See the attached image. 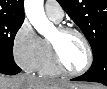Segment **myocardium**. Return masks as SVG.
Returning a JSON list of instances; mask_svg holds the SVG:
<instances>
[{
	"label": "myocardium",
	"mask_w": 107,
	"mask_h": 89,
	"mask_svg": "<svg viewBox=\"0 0 107 89\" xmlns=\"http://www.w3.org/2000/svg\"><path fill=\"white\" fill-rule=\"evenodd\" d=\"M57 32L60 35H65V34L77 35L83 41L86 51H87V60H86V64L84 65V67L77 71H71L64 65V63L60 57L56 44L52 40H49L53 61H54L55 66L57 67V69L62 74H65L68 76H79V75H82L85 72H87L93 64L94 57H93V50H92L91 44H90L88 38L86 37V35L79 29H77L75 27H70V26H60L57 28Z\"/></svg>",
	"instance_id": "f54148a6"
}]
</instances>
